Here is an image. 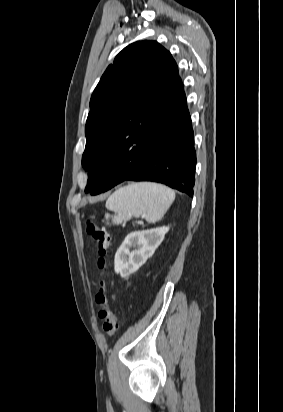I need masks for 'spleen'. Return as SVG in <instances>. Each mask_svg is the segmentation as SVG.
I'll return each instance as SVG.
<instances>
[{
  "instance_id": "3e777b00",
  "label": "spleen",
  "mask_w": 283,
  "mask_h": 412,
  "mask_svg": "<svg viewBox=\"0 0 283 412\" xmlns=\"http://www.w3.org/2000/svg\"><path fill=\"white\" fill-rule=\"evenodd\" d=\"M174 199L175 192L164 185L139 182L117 189L107 199L106 207L116 213L111 217L113 224L140 216L145 217L148 223H156L163 218ZM105 218L108 220L110 215L106 214Z\"/></svg>"
}]
</instances>
